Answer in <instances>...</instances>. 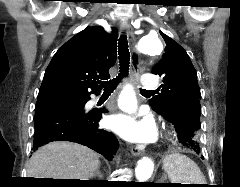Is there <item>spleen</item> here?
Segmentation results:
<instances>
[{"label": "spleen", "mask_w": 240, "mask_h": 187, "mask_svg": "<svg viewBox=\"0 0 240 187\" xmlns=\"http://www.w3.org/2000/svg\"><path fill=\"white\" fill-rule=\"evenodd\" d=\"M163 168L172 183L205 184L206 180L197 164L185 155L171 154L165 158Z\"/></svg>", "instance_id": "obj_1"}]
</instances>
